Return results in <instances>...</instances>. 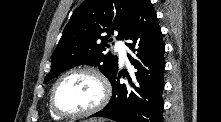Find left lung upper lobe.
Here are the masks:
<instances>
[{
	"label": "left lung upper lobe",
	"instance_id": "1",
	"mask_svg": "<svg viewBox=\"0 0 221 122\" xmlns=\"http://www.w3.org/2000/svg\"><path fill=\"white\" fill-rule=\"evenodd\" d=\"M139 0H88L75 9L52 55L51 71L44 83L74 66L89 64L111 81L117 74L118 58L104 54L111 34L123 40L133 22ZM107 33L102 37V33ZM101 39V42L99 41Z\"/></svg>",
	"mask_w": 221,
	"mask_h": 122
}]
</instances>
